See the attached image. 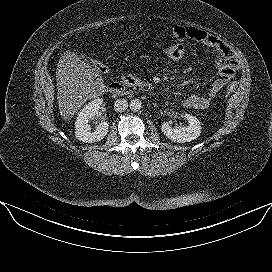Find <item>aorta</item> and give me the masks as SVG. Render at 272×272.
Listing matches in <instances>:
<instances>
[{"instance_id": "obj_1", "label": "aorta", "mask_w": 272, "mask_h": 272, "mask_svg": "<svg viewBox=\"0 0 272 272\" xmlns=\"http://www.w3.org/2000/svg\"><path fill=\"white\" fill-rule=\"evenodd\" d=\"M130 109L134 112H138L142 108V102L139 99H133L130 101Z\"/></svg>"}]
</instances>
